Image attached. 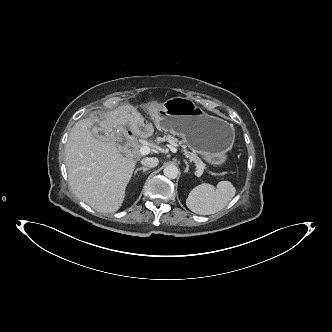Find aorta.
Segmentation results:
<instances>
[{"mask_svg": "<svg viewBox=\"0 0 332 332\" xmlns=\"http://www.w3.org/2000/svg\"><path fill=\"white\" fill-rule=\"evenodd\" d=\"M164 175L169 179H175L178 176L179 170L175 165H168L164 168Z\"/></svg>", "mask_w": 332, "mask_h": 332, "instance_id": "762f6f07", "label": "aorta"}]
</instances>
